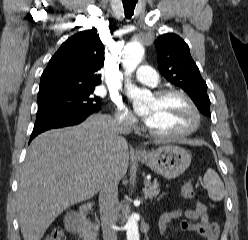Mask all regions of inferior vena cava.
Instances as JSON below:
<instances>
[{
    "label": "inferior vena cava",
    "instance_id": "inferior-vena-cava-1",
    "mask_svg": "<svg viewBox=\"0 0 248 240\" xmlns=\"http://www.w3.org/2000/svg\"><path fill=\"white\" fill-rule=\"evenodd\" d=\"M131 131V125L126 119L114 120V132L119 134H128ZM118 178L113 174H107L101 183L99 189V207L103 240H117L114 225L117 221L119 211L118 201Z\"/></svg>",
    "mask_w": 248,
    "mask_h": 240
}]
</instances>
